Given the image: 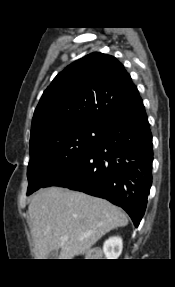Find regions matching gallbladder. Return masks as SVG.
<instances>
[{
	"instance_id": "bac80fb5",
	"label": "gallbladder",
	"mask_w": 175,
	"mask_h": 287,
	"mask_svg": "<svg viewBox=\"0 0 175 287\" xmlns=\"http://www.w3.org/2000/svg\"><path fill=\"white\" fill-rule=\"evenodd\" d=\"M58 254H59V250H53V251L50 252L48 258L49 259H55V258H57Z\"/></svg>"
}]
</instances>
